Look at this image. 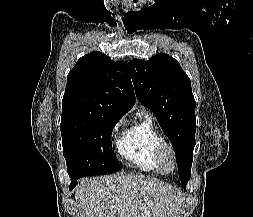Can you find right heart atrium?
<instances>
[{
  "label": "right heart atrium",
  "instance_id": "obj_1",
  "mask_svg": "<svg viewBox=\"0 0 253 217\" xmlns=\"http://www.w3.org/2000/svg\"><path fill=\"white\" fill-rule=\"evenodd\" d=\"M118 126H119V124H116V125L114 126V130H116V129L118 128Z\"/></svg>",
  "mask_w": 253,
  "mask_h": 217
}]
</instances>
